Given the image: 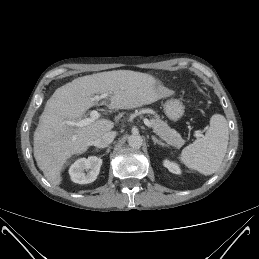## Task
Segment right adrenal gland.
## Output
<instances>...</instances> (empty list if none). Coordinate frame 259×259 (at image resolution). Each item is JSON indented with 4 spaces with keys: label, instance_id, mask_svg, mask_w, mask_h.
Listing matches in <instances>:
<instances>
[{
    "label": "right adrenal gland",
    "instance_id": "obj_1",
    "mask_svg": "<svg viewBox=\"0 0 259 259\" xmlns=\"http://www.w3.org/2000/svg\"><path fill=\"white\" fill-rule=\"evenodd\" d=\"M94 151L99 152L100 150L99 149H95Z\"/></svg>",
    "mask_w": 259,
    "mask_h": 259
}]
</instances>
